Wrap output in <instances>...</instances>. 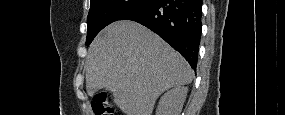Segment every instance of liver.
Here are the masks:
<instances>
[{"label":"liver","instance_id":"1","mask_svg":"<svg viewBox=\"0 0 285 115\" xmlns=\"http://www.w3.org/2000/svg\"><path fill=\"white\" fill-rule=\"evenodd\" d=\"M85 70L88 95L105 88L126 115H151L164 91L189 84L194 76L178 52L133 21L114 22L99 33Z\"/></svg>","mask_w":285,"mask_h":115}]
</instances>
